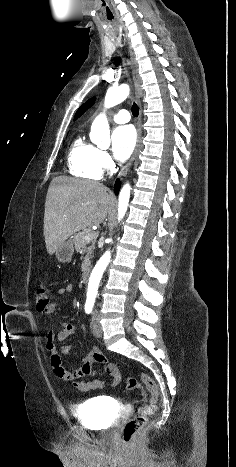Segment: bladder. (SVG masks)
<instances>
[{"mask_svg":"<svg viewBox=\"0 0 236 467\" xmlns=\"http://www.w3.org/2000/svg\"><path fill=\"white\" fill-rule=\"evenodd\" d=\"M114 405L105 397H94L83 402L79 407L73 409L74 416L84 425L105 429L113 426L110 412L114 410Z\"/></svg>","mask_w":236,"mask_h":467,"instance_id":"obj_1","label":"bladder"}]
</instances>
